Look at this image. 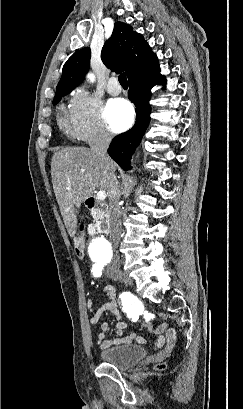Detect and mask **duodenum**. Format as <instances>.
<instances>
[{"mask_svg":"<svg viewBox=\"0 0 243 409\" xmlns=\"http://www.w3.org/2000/svg\"><path fill=\"white\" fill-rule=\"evenodd\" d=\"M85 204L88 209L98 213L96 222L90 227V230L97 234H106L108 231L107 206L94 197H88Z\"/></svg>","mask_w":243,"mask_h":409,"instance_id":"410a0bca","label":"duodenum"}]
</instances>
